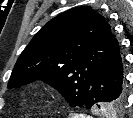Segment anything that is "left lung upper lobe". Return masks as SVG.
I'll return each instance as SVG.
<instances>
[{
    "instance_id": "left-lung-upper-lobe-1",
    "label": "left lung upper lobe",
    "mask_w": 133,
    "mask_h": 118,
    "mask_svg": "<svg viewBox=\"0 0 133 118\" xmlns=\"http://www.w3.org/2000/svg\"><path fill=\"white\" fill-rule=\"evenodd\" d=\"M115 37L104 17L90 7H76L50 20L23 50L8 88L41 79L59 90L70 106H84L91 82L106 60ZM117 99L102 108L119 112Z\"/></svg>"
}]
</instances>
